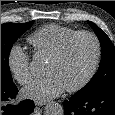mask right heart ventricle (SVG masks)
I'll list each match as a JSON object with an SVG mask.
<instances>
[{"instance_id":"right-heart-ventricle-1","label":"right heart ventricle","mask_w":115,"mask_h":115,"mask_svg":"<svg viewBox=\"0 0 115 115\" xmlns=\"http://www.w3.org/2000/svg\"><path fill=\"white\" fill-rule=\"evenodd\" d=\"M77 32L70 27L48 24L32 33L28 41L37 55L50 58L65 39Z\"/></svg>"}]
</instances>
